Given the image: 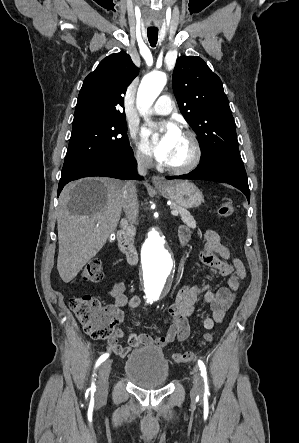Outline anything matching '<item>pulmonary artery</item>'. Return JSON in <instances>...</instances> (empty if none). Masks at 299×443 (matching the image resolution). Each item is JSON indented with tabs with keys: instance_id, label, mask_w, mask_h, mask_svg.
Returning a JSON list of instances; mask_svg holds the SVG:
<instances>
[{
	"instance_id": "e3ab8cb5",
	"label": "pulmonary artery",
	"mask_w": 299,
	"mask_h": 443,
	"mask_svg": "<svg viewBox=\"0 0 299 443\" xmlns=\"http://www.w3.org/2000/svg\"><path fill=\"white\" fill-rule=\"evenodd\" d=\"M174 109V103L170 96L162 95L151 109V112L158 115H167Z\"/></svg>"
}]
</instances>
